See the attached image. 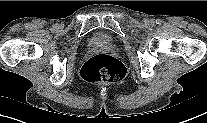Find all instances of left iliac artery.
<instances>
[{
    "mask_svg": "<svg viewBox=\"0 0 207 123\" xmlns=\"http://www.w3.org/2000/svg\"><path fill=\"white\" fill-rule=\"evenodd\" d=\"M156 24H161V20L160 19H156Z\"/></svg>",
    "mask_w": 207,
    "mask_h": 123,
    "instance_id": "1",
    "label": "left iliac artery"
}]
</instances>
